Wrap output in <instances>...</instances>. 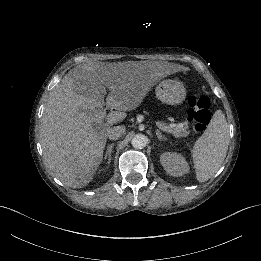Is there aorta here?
Returning <instances> with one entry per match:
<instances>
[{
  "mask_svg": "<svg viewBox=\"0 0 261 261\" xmlns=\"http://www.w3.org/2000/svg\"><path fill=\"white\" fill-rule=\"evenodd\" d=\"M131 144L135 149H142L147 145V138L143 134L133 136Z\"/></svg>",
  "mask_w": 261,
  "mask_h": 261,
  "instance_id": "aorta-1",
  "label": "aorta"
}]
</instances>
